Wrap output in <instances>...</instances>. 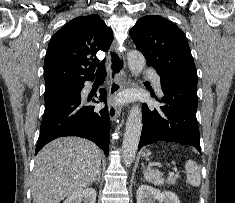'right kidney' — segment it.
Here are the masks:
<instances>
[{
	"instance_id": "ca27d5eb",
	"label": "right kidney",
	"mask_w": 235,
	"mask_h": 203,
	"mask_svg": "<svg viewBox=\"0 0 235 203\" xmlns=\"http://www.w3.org/2000/svg\"><path fill=\"white\" fill-rule=\"evenodd\" d=\"M96 190L93 188H86L80 192H76L70 196L63 203H95Z\"/></svg>"
}]
</instances>
